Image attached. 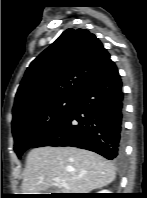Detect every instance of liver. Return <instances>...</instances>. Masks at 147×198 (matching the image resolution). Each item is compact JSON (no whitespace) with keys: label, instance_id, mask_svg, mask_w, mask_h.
Masks as SVG:
<instances>
[{"label":"liver","instance_id":"1","mask_svg":"<svg viewBox=\"0 0 147 198\" xmlns=\"http://www.w3.org/2000/svg\"><path fill=\"white\" fill-rule=\"evenodd\" d=\"M116 177L114 165L102 156L76 147L43 146L26 158L22 194H42L55 186L54 179L67 182L54 193H89L107 186ZM51 194V193H44Z\"/></svg>","mask_w":147,"mask_h":198}]
</instances>
